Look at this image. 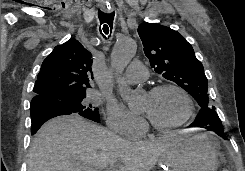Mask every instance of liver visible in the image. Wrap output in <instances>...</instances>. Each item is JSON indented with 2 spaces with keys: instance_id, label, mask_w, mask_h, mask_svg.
<instances>
[{
  "instance_id": "6515ba94",
  "label": "liver",
  "mask_w": 245,
  "mask_h": 171,
  "mask_svg": "<svg viewBox=\"0 0 245 171\" xmlns=\"http://www.w3.org/2000/svg\"><path fill=\"white\" fill-rule=\"evenodd\" d=\"M181 137L167 133L153 140L131 142L77 115L57 117L36 134L28 171H90L106 167L112 171H150Z\"/></svg>"
}]
</instances>
